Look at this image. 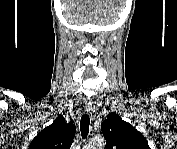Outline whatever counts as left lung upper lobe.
Returning <instances> with one entry per match:
<instances>
[{
  "label": "left lung upper lobe",
  "instance_id": "5c2ea615",
  "mask_svg": "<svg viewBox=\"0 0 177 149\" xmlns=\"http://www.w3.org/2000/svg\"><path fill=\"white\" fill-rule=\"evenodd\" d=\"M106 149H150L145 137L115 113H110L101 125Z\"/></svg>",
  "mask_w": 177,
  "mask_h": 149
}]
</instances>
